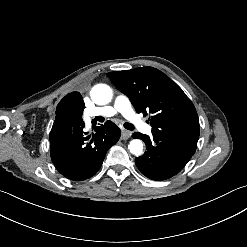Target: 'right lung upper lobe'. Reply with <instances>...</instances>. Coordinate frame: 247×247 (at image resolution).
<instances>
[{
  "mask_svg": "<svg viewBox=\"0 0 247 247\" xmlns=\"http://www.w3.org/2000/svg\"><path fill=\"white\" fill-rule=\"evenodd\" d=\"M76 115V109L66 107L63 101H60L56 109V119L53 128H59L67 125V122L73 120Z\"/></svg>",
  "mask_w": 247,
  "mask_h": 247,
  "instance_id": "1",
  "label": "right lung upper lobe"
}]
</instances>
